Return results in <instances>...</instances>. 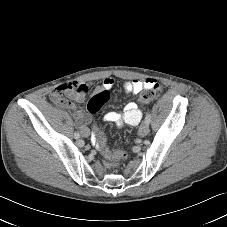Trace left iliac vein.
I'll return each instance as SVG.
<instances>
[{"instance_id": "obj_1", "label": "left iliac vein", "mask_w": 227, "mask_h": 227, "mask_svg": "<svg viewBox=\"0 0 227 227\" xmlns=\"http://www.w3.org/2000/svg\"><path fill=\"white\" fill-rule=\"evenodd\" d=\"M150 129H149V125L146 122H143L138 130V133L141 137L146 136L149 133Z\"/></svg>"}]
</instances>
